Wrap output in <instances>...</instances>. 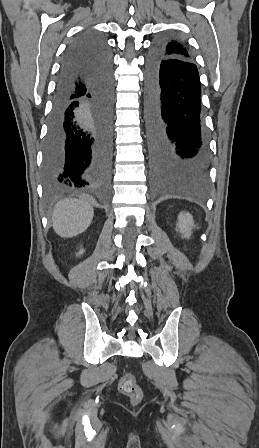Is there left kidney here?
I'll list each match as a JSON object with an SVG mask.
<instances>
[{
    "label": "left kidney",
    "instance_id": "left-kidney-1",
    "mask_svg": "<svg viewBox=\"0 0 259 448\" xmlns=\"http://www.w3.org/2000/svg\"><path fill=\"white\" fill-rule=\"evenodd\" d=\"M193 224V218L189 212H181V214H179L177 228L178 232L183 234V238H190Z\"/></svg>",
    "mask_w": 259,
    "mask_h": 448
}]
</instances>
